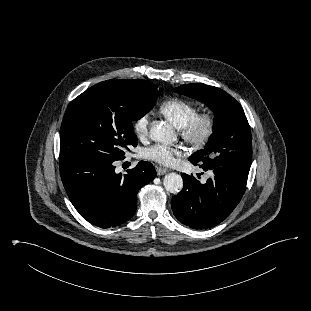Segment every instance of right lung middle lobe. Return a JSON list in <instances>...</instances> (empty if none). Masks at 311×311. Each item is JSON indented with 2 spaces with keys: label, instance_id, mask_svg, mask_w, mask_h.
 <instances>
[{
  "label": "right lung middle lobe",
  "instance_id": "dd1d6c3e",
  "mask_svg": "<svg viewBox=\"0 0 311 311\" xmlns=\"http://www.w3.org/2000/svg\"><path fill=\"white\" fill-rule=\"evenodd\" d=\"M157 97V85L151 82L107 80L92 86L65 112L59 159H123L138 143L132 122L148 113Z\"/></svg>",
  "mask_w": 311,
  "mask_h": 311
}]
</instances>
